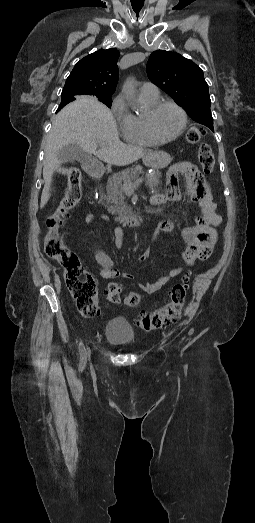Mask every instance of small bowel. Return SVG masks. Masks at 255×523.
Instances as JSON below:
<instances>
[{
  "label": "small bowel",
  "mask_w": 255,
  "mask_h": 523,
  "mask_svg": "<svg viewBox=\"0 0 255 523\" xmlns=\"http://www.w3.org/2000/svg\"><path fill=\"white\" fill-rule=\"evenodd\" d=\"M179 168L183 172L187 182V195L191 200L198 203L202 216L196 219L194 227L184 229L182 236L186 248L182 253V258L186 266H193L198 260L203 261L210 257L217 240L216 227L221 223V217L217 213V205L213 200L210 188L198 168L192 163H182ZM181 192L176 182L171 183L167 197L154 196L152 203L155 205L163 203L166 199L176 200L180 197ZM94 217L89 214L85 217L86 223H93ZM175 228L172 220L160 221L154 231V235L159 232H171ZM123 228L116 227L114 230V244L120 249L123 245ZM94 257L99 266V275L102 279H111L122 275L126 279H133L132 273L124 271L120 273L114 268V262L111 257L104 251L95 250ZM150 258V248H147L138 258L139 261H145ZM183 268L177 267L171 269L167 275L162 276L152 282H142L139 287L147 294L155 293L166 285L170 280L178 276Z\"/></svg>",
  "instance_id": "small-bowel-1"
}]
</instances>
